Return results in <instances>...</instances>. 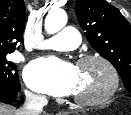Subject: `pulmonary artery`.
<instances>
[{
	"mask_svg": "<svg viewBox=\"0 0 131 115\" xmlns=\"http://www.w3.org/2000/svg\"><path fill=\"white\" fill-rule=\"evenodd\" d=\"M79 43V32L72 27H66L57 34L45 39L41 47L58 51H68L76 48Z\"/></svg>",
	"mask_w": 131,
	"mask_h": 115,
	"instance_id": "pulmonary-artery-1",
	"label": "pulmonary artery"
}]
</instances>
